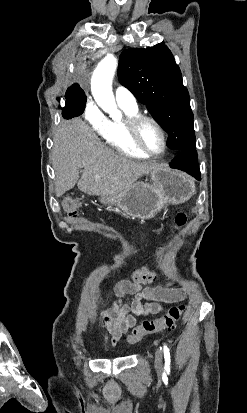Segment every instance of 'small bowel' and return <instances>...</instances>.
Returning <instances> with one entry per match:
<instances>
[{"instance_id": "1", "label": "small bowel", "mask_w": 247, "mask_h": 413, "mask_svg": "<svg viewBox=\"0 0 247 413\" xmlns=\"http://www.w3.org/2000/svg\"><path fill=\"white\" fill-rule=\"evenodd\" d=\"M113 291L117 300L108 308H104L101 294L96 293V301L102 307L98 326L107 328L112 344L136 325L137 316L160 313L164 304L178 303L186 298V292L181 288L138 289L137 282H117Z\"/></svg>"}]
</instances>
